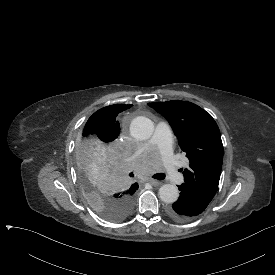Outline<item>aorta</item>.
Wrapping results in <instances>:
<instances>
[{
  "label": "aorta",
  "mask_w": 275,
  "mask_h": 275,
  "mask_svg": "<svg viewBox=\"0 0 275 275\" xmlns=\"http://www.w3.org/2000/svg\"><path fill=\"white\" fill-rule=\"evenodd\" d=\"M153 131L154 125L152 120L144 116L135 117L130 124V133L137 140L148 139ZM159 195L161 201L170 204L178 200L179 191L177 187L171 184H165L160 187Z\"/></svg>",
  "instance_id": "762f6f07"
}]
</instances>
